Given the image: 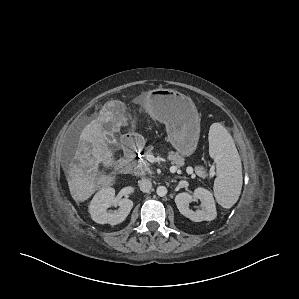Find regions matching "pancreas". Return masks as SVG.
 Here are the masks:
<instances>
[{
	"label": "pancreas",
	"mask_w": 299,
	"mask_h": 299,
	"mask_svg": "<svg viewBox=\"0 0 299 299\" xmlns=\"http://www.w3.org/2000/svg\"><path fill=\"white\" fill-rule=\"evenodd\" d=\"M153 148L148 147L145 151V157L146 155H151ZM141 158L137 161H133V173L136 176H145L147 174H152V170L150 168V163L146 160V158ZM168 160L171 162V164L176 165L177 167H182L184 165V158L180 156L178 153H174L173 151H170L168 153ZM197 173H203L202 169L200 167L196 168Z\"/></svg>",
	"instance_id": "pancreas-1"
}]
</instances>
